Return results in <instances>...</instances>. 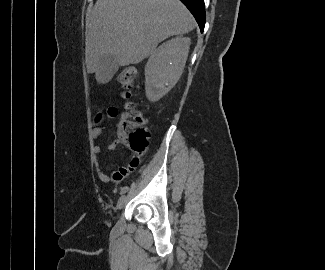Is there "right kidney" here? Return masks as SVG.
<instances>
[{
  "label": "right kidney",
  "mask_w": 325,
  "mask_h": 270,
  "mask_svg": "<svg viewBox=\"0 0 325 270\" xmlns=\"http://www.w3.org/2000/svg\"><path fill=\"white\" fill-rule=\"evenodd\" d=\"M190 38L177 37L158 47L145 67L147 98L158 101L179 80L188 57Z\"/></svg>",
  "instance_id": "right-kidney-1"
}]
</instances>
